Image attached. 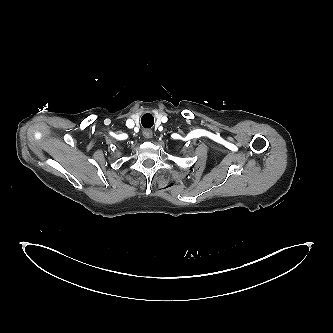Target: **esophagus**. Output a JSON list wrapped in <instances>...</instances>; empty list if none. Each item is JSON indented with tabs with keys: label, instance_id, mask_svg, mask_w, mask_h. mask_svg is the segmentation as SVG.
<instances>
[{
	"label": "esophagus",
	"instance_id": "1",
	"mask_svg": "<svg viewBox=\"0 0 333 333\" xmlns=\"http://www.w3.org/2000/svg\"><path fill=\"white\" fill-rule=\"evenodd\" d=\"M143 136L146 138V139H150L153 137V133L151 130H144L143 131Z\"/></svg>",
	"mask_w": 333,
	"mask_h": 333
}]
</instances>
